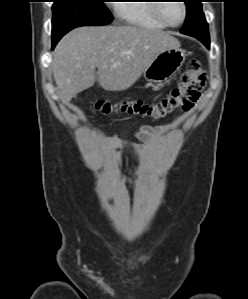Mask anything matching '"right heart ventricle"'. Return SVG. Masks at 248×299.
Segmentation results:
<instances>
[{"instance_id":"right-heart-ventricle-1","label":"right heart ventricle","mask_w":248,"mask_h":299,"mask_svg":"<svg viewBox=\"0 0 248 299\" xmlns=\"http://www.w3.org/2000/svg\"><path fill=\"white\" fill-rule=\"evenodd\" d=\"M133 3H119L116 10L119 18L128 25L141 28L163 30L165 25L162 24L155 16V0H138L129 1Z\"/></svg>"}]
</instances>
